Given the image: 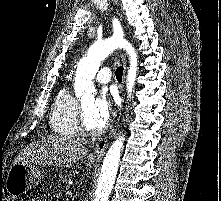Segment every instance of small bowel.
<instances>
[{"instance_id":"c3829d8e","label":"small bowel","mask_w":221,"mask_h":201,"mask_svg":"<svg viewBox=\"0 0 221 201\" xmlns=\"http://www.w3.org/2000/svg\"><path fill=\"white\" fill-rule=\"evenodd\" d=\"M32 201H41V200H39V199H33Z\"/></svg>"}]
</instances>
